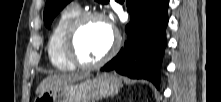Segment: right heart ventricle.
<instances>
[{
    "instance_id": "1",
    "label": "right heart ventricle",
    "mask_w": 221,
    "mask_h": 102,
    "mask_svg": "<svg viewBox=\"0 0 221 102\" xmlns=\"http://www.w3.org/2000/svg\"><path fill=\"white\" fill-rule=\"evenodd\" d=\"M80 13V8L75 5L64 8L49 34L47 43L48 56L52 65L60 71H69L75 68L65 57L64 41L70 24Z\"/></svg>"
}]
</instances>
